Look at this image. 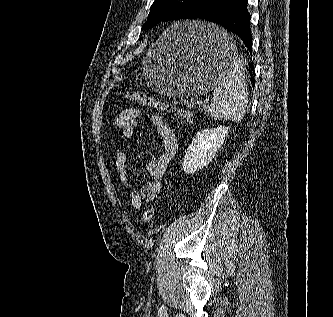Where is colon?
<instances>
[{
    "label": "colon",
    "instance_id": "obj_1",
    "mask_svg": "<svg viewBox=\"0 0 333 317\" xmlns=\"http://www.w3.org/2000/svg\"><path fill=\"white\" fill-rule=\"evenodd\" d=\"M123 96L131 101L137 102L151 109L177 115L181 117L186 123H191L193 120L192 115L188 111L165 104L143 92L129 91L124 93ZM154 214L155 207H149L148 209H146L142 216L143 222L145 224H149L152 221Z\"/></svg>",
    "mask_w": 333,
    "mask_h": 317
}]
</instances>
